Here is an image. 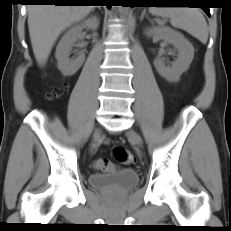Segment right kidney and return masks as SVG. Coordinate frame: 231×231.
Wrapping results in <instances>:
<instances>
[{"mask_svg":"<svg viewBox=\"0 0 231 231\" xmlns=\"http://www.w3.org/2000/svg\"><path fill=\"white\" fill-rule=\"evenodd\" d=\"M98 26V18L90 17L84 20L82 23L71 27L61 38L57 46L55 56L58 61L59 70L63 75H74L84 63L85 54L83 52L77 53L76 57L74 58H69L72 47L82 36V30L85 28L96 30L98 29Z\"/></svg>","mask_w":231,"mask_h":231,"instance_id":"right-kidney-1","label":"right kidney"}]
</instances>
